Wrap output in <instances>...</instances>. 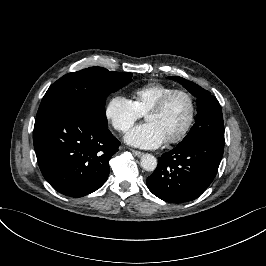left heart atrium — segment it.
Returning <instances> with one entry per match:
<instances>
[{"mask_svg":"<svg viewBox=\"0 0 266 266\" xmlns=\"http://www.w3.org/2000/svg\"><path fill=\"white\" fill-rule=\"evenodd\" d=\"M160 129L153 123L146 122L134 127L126 135V141L141 148H155L165 142Z\"/></svg>","mask_w":266,"mask_h":266,"instance_id":"39dd6f15","label":"left heart atrium"}]
</instances>
